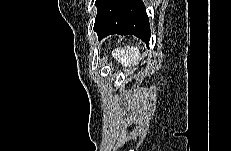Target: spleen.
<instances>
[{
	"instance_id": "1",
	"label": "spleen",
	"mask_w": 231,
	"mask_h": 151,
	"mask_svg": "<svg viewBox=\"0 0 231 151\" xmlns=\"http://www.w3.org/2000/svg\"><path fill=\"white\" fill-rule=\"evenodd\" d=\"M112 55L119 63L128 68L136 66L141 59L139 49L133 46L117 48L113 50Z\"/></svg>"
}]
</instances>
